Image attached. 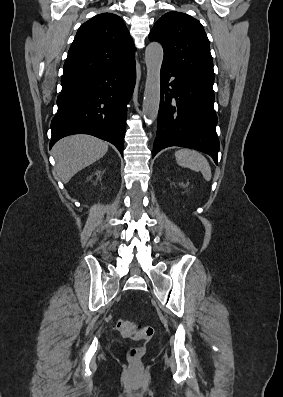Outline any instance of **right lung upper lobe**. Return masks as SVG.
I'll list each match as a JSON object with an SVG mask.
<instances>
[{"instance_id":"1","label":"right lung upper lobe","mask_w":283,"mask_h":397,"mask_svg":"<svg viewBox=\"0 0 283 397\" xmlns=\"http://www.w3.org/2000/svg\"><path fill=\"white\" fill-rule=\"evenodd\" d=\"M134 55L133 39L123 20L112 13L96 15L77 31L61 81L123 66L135 60Z\"/></svg>"}]
</instances>
